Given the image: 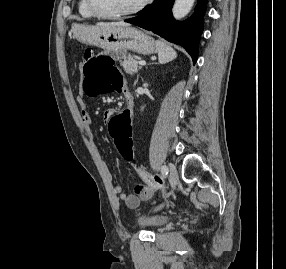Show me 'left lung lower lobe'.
Here are the masks:
<instances>
[{"mask_svg":"<svg viewBox=\"0 0 286 269\" xmlns=\"http://www.w3.org/2000/svg\"><path fill=\"white\" fill-rule=\"evenodd\" d=\"M175 0H155L139 16L125 22L152 31L166 40L183 46L197 61L198 42L203 29V15L207 0H198L194 14L184 22L175 21L171 13Z\"/></svg>","mask_w":286,"mask_h":269,"instance_id":"0a47b994","label":"left lung lower lobe"}]
</instances>
